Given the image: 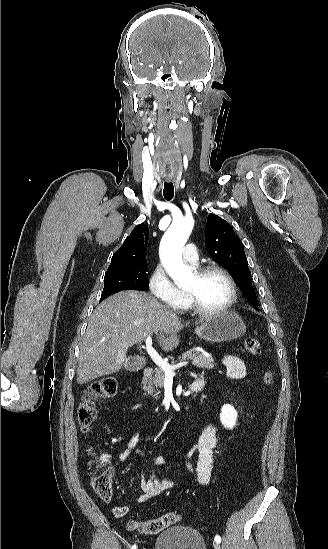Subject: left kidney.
Returning a JSON list of instances; mask_svg holds the SVG:
<instances>
[{"mask_svg":"<svg viewBox=\"0 0 328 549\" xmlns=\"http://www.w3.org/2000/svg\"><path fill=\"white\" fill-rule=\"evenodd\" d=\"M220 421L227 429H233L237 421V411L232 405H223L221 409Z\"/></svg>","mask_w":328,"mask_h":549,"instance_id":"1","label":"left kidney"}]
</instances>
